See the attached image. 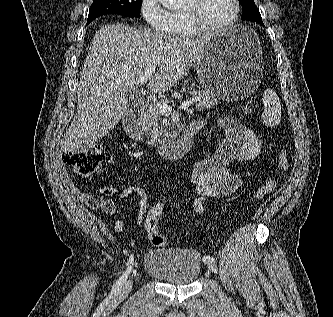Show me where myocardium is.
<instances>
[{
  "label": "myocardium",
  "instance_id": "myocardium-1",
  "mask_svg": "<svg viewBox=\"0 0 333 317\" xmlns=\"http://www.w3.org/2000/svg\"><path fill=\"white\" fill-rule=\"evenodd\" d=\"M185 2L186 4L181 8L180 12L182 13L189 27L199 34H210L227 29L235 23L241 9L240 1L232 0L234 10L232 15L226 21L217 25H206L201 22L198 17V5L200 0H185Z\"/></svg>",
  "mask_w": 333,
  "mask_h": 317
}]
</instances>
